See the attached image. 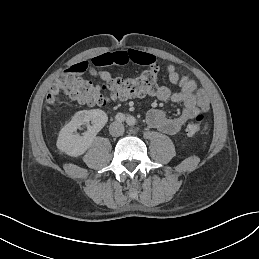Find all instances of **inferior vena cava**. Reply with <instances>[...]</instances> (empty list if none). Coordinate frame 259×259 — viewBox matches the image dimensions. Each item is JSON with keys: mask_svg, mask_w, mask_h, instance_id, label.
Returning <instances> with one entry per match:
<instances>
[{"mask_svg": "<svg viewBox=\"0 0 259 259\" xmlns=\"http://www.w3.org/2000/svg\"><path fill=\"white\" fill-rule=\"evenodd\" d=\"M110 134L120 136L124 133V126L119 122H113L109 127Z\"/></svg>", "mask_w": 259, "mask_h": 259, "instance_id": "obj_1", "label": "inferior vena cava"}]
</instances>
